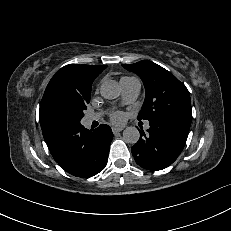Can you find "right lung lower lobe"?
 Segmentation results:
<instances>
[{
  "instance_id": "right-lung-lower-lobe-1",
  "label": "right lung lower lobe",
  "mask_w": 231,
  "mask_h": 231,
  "mask_svg": "<svg viewBox=\"0 0 231 231\" xmlns=\"http://www.w3.org/2000/svg\"><path fill=\"white\" fill-rule=\"evenodd\" d=\"M113 133L108 125L88 130L80 123L65 127L50 143L55 161L68 173L83 178L98 174L106 166Z\"/></svg>"
}]
</instances>
